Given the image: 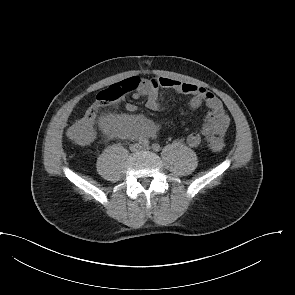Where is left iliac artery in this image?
Wrapping results in <instances>:
<instances>
[{"instance_id":"1","label":"left iliac artery","mask_w":295,"mask_h":295,"mask_svg":"<svg viewBox=\"0 0 295 295\" xmlns=\"http://www.w3.org/2000/svg\"><path fill=\"white\" fill-rule=\"evenodd\" d=\"M152 149L155 151V152H158L160 151L161 147L158 143H153L152 144Z\"/></svg>"}]
</instances>
